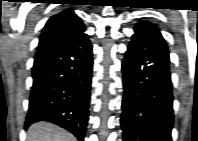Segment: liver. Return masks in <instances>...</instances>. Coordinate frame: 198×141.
<instances>
[{
    "label": "liver",
    "instance_id": "liver-1",
    "mask_svg": "<svg viewBox=\"0 0 198 141\" xmlns=\"http://www.w3.org/2000/svg\"><path fill=\"white\" fill-rule=\"evenodd\" d=\"M27 141H76V138L54 124L41 121L29 127Z\"/></svg>",
    "mask_w": 198,
    "mask_h": 141
}]
</instances>
